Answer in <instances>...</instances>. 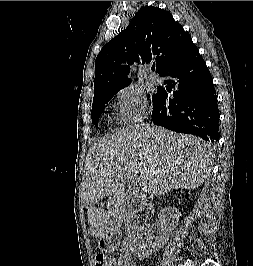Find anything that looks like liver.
Listing matches in <instances>:
<instances>
[{
  "label": "liver",
  "instance_id": "obj_1",
  "mask_svg": "<svg viewBox=\"0 0 253 266\" xmlns=\"http://www.w3.org/2000/svg\"><path fill=\"white\" fill-rule=\"evenodd\" d=\"M212 150L193 135L135 124L92 145L85 162L83 200L91 234L103 237L126 217L127 178L161 196L174 187L196 189L204 182Z\"/></svg>",
  "mask_w": 253,
  "mask_h": 266
}]
</instances>
